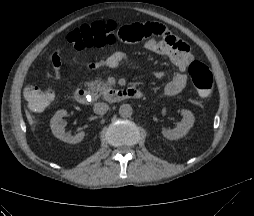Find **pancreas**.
<instances>
[{
  "label": "pancreas",
  "mask_w": 254,
  "mask_h": 216,
  "mask_svg": "<svg viewBox=\"0 0 254 216\" xmlns=\"http://www.w3.org/2000/svg\"><path fill=\"white\" fill-rule=\"evenodd\" d=\"M86 85L93 93H95L96 96L98 93H102L108 88H110V85L108 83L97 80L87 82Z\"/></svg>",
  "instance_id": "pancreas-1"
}]
</instances>
